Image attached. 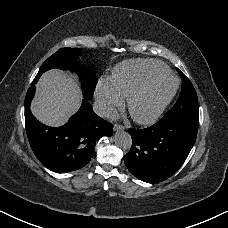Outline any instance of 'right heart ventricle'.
<instances>
[{"label": "right heart ventricle", "instance_id": "e07e8e85", "mask_svg": "<svg viewBox=\"0 0 228 228\" xmlns=\"http://www.w3.org/2000/svg\"><path fill=\"white\" fill-rule=\"evenodd\" d=\"M169 73L170 70L162 63L135 60L118 65L110 80L123 97H129L146 80Z\"/></svg>", "mask_w": 228, "mask_h": 228}]
</instances>
